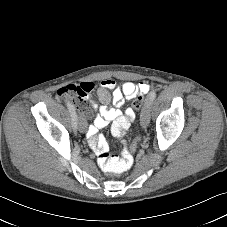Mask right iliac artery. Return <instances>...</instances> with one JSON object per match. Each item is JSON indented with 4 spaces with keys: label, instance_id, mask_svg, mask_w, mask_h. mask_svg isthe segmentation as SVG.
Here are the masks:
<instances>
[{
    "label": "right iliac artery",
    "instance_id": "1",
    "mask_svg": "<svg viewBox=\"0 0 227 227\" xmlns=\"http://www.w3.org/2000/svg\"><path fill=\"white\" fill-rule=\"evenodd\" d=\"M66 105H67L69 112L71 114V117H72L73 129L76 130L77 129V115L75 112V108L72 105V103H70L69 101L66 102Z\"/></svg>",
    "mask_w": 227,
    "mask_h": 227
}]
</instances>
